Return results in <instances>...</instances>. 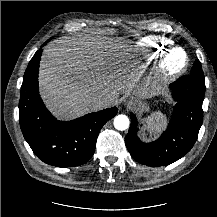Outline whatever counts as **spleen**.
Listing matches in <instances>:
<instances>
[{
	"label": "spleen",
	"mask_w": 217,
	"mask_h": 217,
	"mask_svg": "<svg viewBox=\"0 0 217 217\" xmlns=\"http://www.w3.org/2000/svg\"><path fill=\"white\" fill-rule=\"evenodd\" d=\"M166 116L161 112H155L147 118V129L150 134L160 133L166 126Z\"/></svg>",
	"instance_id": "spleen-1"
}]
</instances>
